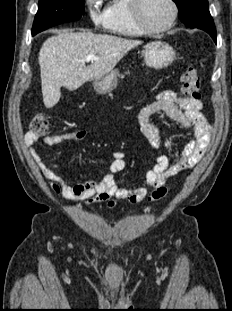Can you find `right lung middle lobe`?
Wrapping results in <instances>:
<instances>
[{
  "mask_svg": "<svg viewBox=\"0 0 232 311\" xmlns=\"http://www.w3.org/2000/svg\"><path fill=\"white\" fill-rule=\"evenodd\" d=\"M83 5L84 0H39L32 35L52 26L80 19L84 12Z\"/></svg>",
  "mask_w": 232,
  "mask_h": 311,
  "instance_id": "obj_1",
  "label": "right lung middle lobe"
}]
</instances>
